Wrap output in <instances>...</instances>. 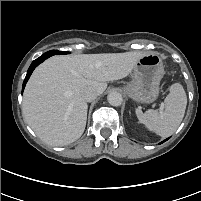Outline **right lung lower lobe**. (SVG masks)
<instances>
[{
	"label": "right lung lower lobe",
	"instance_id": "1",
	"mask_svg": "<svg viewBox=\"0 0 201 201\" xmlns=\"http://www.w3.org/2000/svg\"><path fill=\"white\" fill-rule=\"evenodd\" d=\"M50 56H51V54L46 52L45 54H43L42 56H40L39 58H37L36 60H34L31 63V65H30V67L28 69L27 75L25 77V80L23 82L22 91L24 90V87H25L30 75L32 74L33 70L35 69V67L38 66L40 63H42L45 59H47Z\"/></svg>",
	"mask_w": 201,
	"mask_h": 201
}]
</instances>
